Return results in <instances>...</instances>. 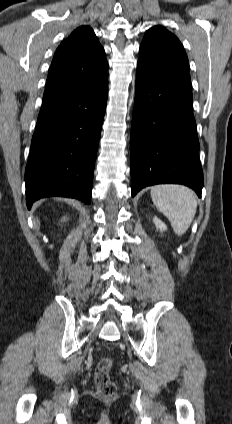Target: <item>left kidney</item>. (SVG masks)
<instances>
[{
    "label": "left kidney",
    "mask_w": 232,
    "mask_h": 424,
    "mask_svg": "<svg viewBox=\"0 0 232 424\" xmlns=\"http://www.w3.org/2000/svg\"><path fill=\"white\" fill-rule=\"evenodd\" d=\"M153 222H154L156 228L159 229L161 232L167 230V227H166L165 223H163L157 217H154L153 218Z\"/></svg>",
    "instance_id": "5707ae66"
}]
</instances>
